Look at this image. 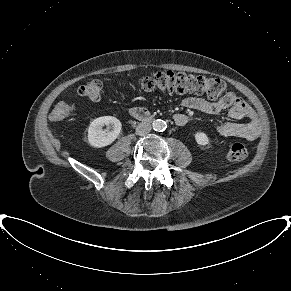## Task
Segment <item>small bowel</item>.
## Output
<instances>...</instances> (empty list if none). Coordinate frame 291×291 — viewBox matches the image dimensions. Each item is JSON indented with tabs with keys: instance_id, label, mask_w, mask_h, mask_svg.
Segmentation results:
<instances>
[{
	"instance_id": "c3829d8e",
	"label": "small bowel",
	"mask_w": 291,
	"mask_h": 291,
	"mask_svg": "<svg viewBox=\"0 0 291 291\" xmlns=\"http://www.w3.org/2000/svg\"><path fill=\"white\" fill-rule=\"evenodd\" d=\"M182 105L210 115L228 110L230 118L235 122H221L216 125V131L222 136L254 141L260 134V123L254 111L242 98L233 93H228L215 102L199 96L186 97L182 100ZM243 120L245 122H241ZM174 121L178 126H184L189 122V117L186 114L178 113L175 114Z\"/></svg>"
}]
</instances>
